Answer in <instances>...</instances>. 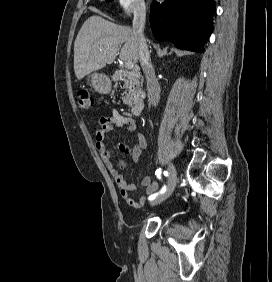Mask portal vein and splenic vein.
<instances>
[{
  "instance_id": "1",
  "label": "portal vein and splenic vein",
  "mask_w": 272,
  "mask_h": 282,
  "mask_svg": "<svg viewBox=\"0 0 272 282\" xmlns=\"http://www.w3.org/2000/svg\"><path fill=\"white\" fill-rule=\"evenodd\" d=\"M124 66H125L126 69H133L134 63L132 61H126Z\"/></svg>"
}]
</instances>
